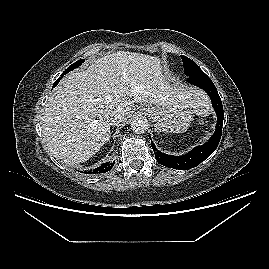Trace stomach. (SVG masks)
<instances>
[{"label":"stomach","instance_id":"1","mask_svg":"<svg viewBox=\"0 0 269 269\" xmlns=\"http://www.w3.org/2000/svg\"><path fill=\"white\" fill-rule=\"evenodd\" d=\"M141 110L155 122L156 130L164 133H183L187 131L195 114L193 108L184 104L167 107L143 104Z\"/></svg>","mask_w":269,"mask_h":269}]
</instances>
